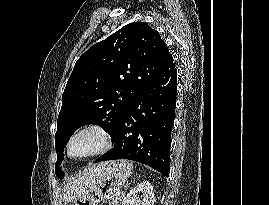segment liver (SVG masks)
I'll return each mask as SVG.
<instances>
[{
	"mask_svg": "<svg viewBox=\"0 0 269 205\" xmlns=\"http://www.w3.org/2000/svg\"><path fill=\"white\" fill-rule=\"evenodd\" d=\"M108 164L109 162H101L89 166L82 174L70 180L63 190L64 202L73 201L91 191Z\"/></svg>",
	"mask_w": 269,
	"mask_h": 205,
	"instance_id": "obj_1",
	"label": "liver"
}]
</instances>
